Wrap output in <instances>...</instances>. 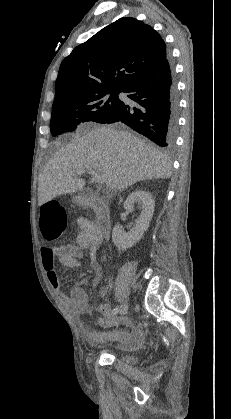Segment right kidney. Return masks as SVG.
<instances>
[{
	"label": "right kidney",
	"mask_w": 231,
	"mask_h": 419,
	"mask_svg": "<svg viewBox=\"0 0 231 419\" xmlns=\"http://www.w3.org/2000/svg\"><path fill=\"white\" fill-rule=\"evenodd\" d=\"M135 203L141 205V214L136 220L135 227L126 233L119 224H116L112 231V241L122 251L140 241L153 217L155 201L149 192L142 189L135 190L126 198L123 207L127 212H132Z\"/></svg>",
	"instance_id": "ca27d5eb"
}]
</instances>
